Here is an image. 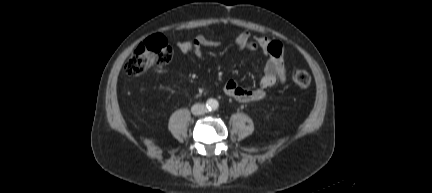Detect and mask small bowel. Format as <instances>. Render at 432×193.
<instances>
[{
	"mask_svg": "<svg viewBox=\"0 0 432 193\" xmlns=\"http://www.w3.org/2000/svg\"><path fill=\"white\" fill-rule=\"evenodd\" d=\"M235 42L241 49L261 50L267 56V61L264 66V75L257 88L247 89L234 80H229L224 85L226 95L240 102H255L263 99L268 89L285 83L287 66L282 43L266 37L251 38L250 33L246 31L239 33ZM217 45H219L217 39L199 35L188 41L178 42L177 48L182 53L200 54L202 47Z\"/></svg>",
	"mask_w": 432,
	"mask_h": 193,
	"instance_id": "small-bowel-1",
	"label": "small bowel"
}]
</instances>
